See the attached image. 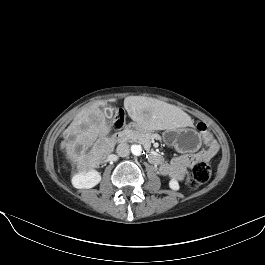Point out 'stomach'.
I'll list each match as a JSON object with an SVG mask.
<instances>
[{"label": "stomach", "mask_w": 265, "mask_h": 265, "mask_svg": "<svg viewBox=\"0 0 265 265\" xmlns=\"http://www.w3.org/2000/svg\"><path fill=\"white\" fill-rule=\"evenodd\" d=\"M162 137L167 145L181 153L196 152L201 144L199 133L192 128L167 129Z\"/></svg>", "instance_id": "stomach-1"}]
</instances>
